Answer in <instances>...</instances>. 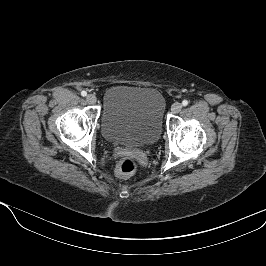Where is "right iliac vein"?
I'll return each mask as SVG.
<instances>
[{"mask_svg": "<svg viewBox=\"0 0 266 266\" xmlns=\"http://www.w3.org/2000/svg\"><path fill=\"white\" fill-rule=\"evenodd\" d=\"M86 100H87V102L89 103V104H95L96 103V96L95 95H93V94H88L87 96H86Z\"/></svg>", "mask_w": 266, "mask_h": 266, "instance_id": "obj_1", "label": "right iliac vein"}]
</instances>
